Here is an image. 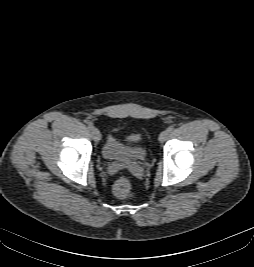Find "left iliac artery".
<instances>
[{
	"label": "left iliac artery",
	"instance_id": "1",
	"mask_svg": "<svg viewBox=\"0 0 254 267\" xmlns=\"http://www.w3.org/2000/svg\"><path fill=\"white\" fill-rule=\"evenodd\" d=\"M167 130H168L169 132L173 131V130H174V126H169Z\"/></svg>",
	"mask_w": 254,
	"mask_h": 267
}]
</instances>
